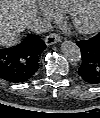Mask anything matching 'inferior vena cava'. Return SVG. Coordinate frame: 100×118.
<instances>
[{
    "label": "inferior vena cava",
    "mask_w": 100,
    "mask_h": 118,
    "mask_svg": "<svg viewBox=\"0 0 100 118\" xmlns=\"http://www.w3.org/2000/svg\"><path fill=\"white\" fill-rule=\"evenodd\" d=\"M30 28L36 33H45L52 29L51 21L47 18L38 17L35 18L31 24Z\"/></svg>",
    "instance_id": "obj_1"
}]
</instances>
